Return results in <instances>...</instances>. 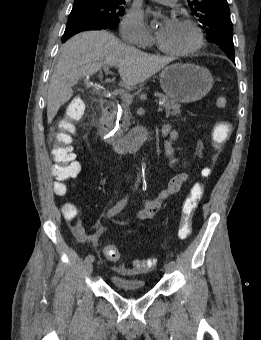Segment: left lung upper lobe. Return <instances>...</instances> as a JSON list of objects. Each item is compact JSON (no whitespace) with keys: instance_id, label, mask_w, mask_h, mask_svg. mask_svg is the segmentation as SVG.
<instances>
[{"instance_id":"left-lung-upper-lobe-1","label":"left lung upper lobe","mask_w":261,"mask_h":340,"mask_svg":"<svg viewBox=\"0 0 261 340\" xmlns=\"http://www.w3.org/2000/svg\"><path fill=\"white\" fill-rule=\"evenodd\" d=\"M192 13L206 30L207 40L234 58L233 27L227 0H188Z\"/></svg>"}]
</instances>
